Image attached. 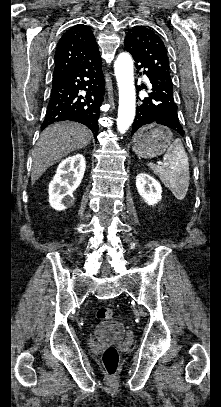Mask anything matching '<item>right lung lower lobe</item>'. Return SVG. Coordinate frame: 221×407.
I'll list each match as a JSON object with an SVG mask.
<instances>
[{"mask_svg": "<svg viewBox=\"0 0 221 407\" xmlns=\"http://www.w3.org/2000/svg\"><path fill=\"white\" fill-rule=\"evenodd\" d=\"M104 78L99 51L90 59L53 76L51 97L42 129L64 120L86 125L96 137Z\"/></svg>", "mask_w": 221, "mask_h": 407, "instance_id": "obj_1", "label": "right lung lower lobe"}]
</instances>
